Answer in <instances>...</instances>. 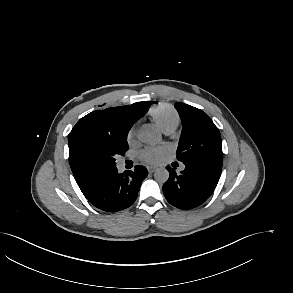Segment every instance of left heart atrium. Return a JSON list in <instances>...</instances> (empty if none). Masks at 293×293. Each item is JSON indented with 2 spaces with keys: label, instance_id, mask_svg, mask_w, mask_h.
<instances>
[{
  "label": "left heart atrium",
  "instance_id": "left-heart-atrium-1",
  "mask_svg": "<svg viewBox=\"0 0 293 293\" xmlns=\"http://www.w3.org/2000/svg\"><path fill=\"white\" fill-rule=\"evenodd\" d=\"M168 149L165 146L161 147H149L144 149L140 153V159L149 164H156L162 160V158L167 154Z\"/></svg>",
  "mask_w": 293,
  "mask_h": 293
}]
</instances>
